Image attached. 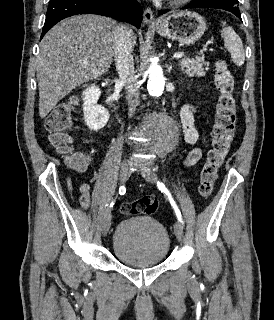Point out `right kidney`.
<instances>
[{
    "label": "right kidney",
    "instance_id": "1",
    "mask_svg": "<svg viewBox=\"0 0 274 320\" xmlns=\"http://www.w3.org/2000/svg\"><path fill=\"white\" fill-rule=\"evenodd\" d=\"M100 96V88L99 86H95V84H93V86H89V88H86V90L82 92V98L84 102V122L86 126H88L89 130H92V132H98V130L105 128L110 118L107 108L97 104Z\"/></svg>",
    "mask_w": 274,
    "mask_h": 320
}]
</instances>
